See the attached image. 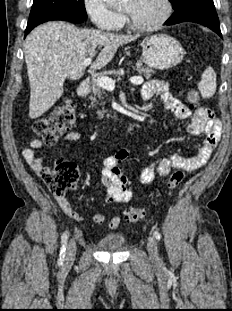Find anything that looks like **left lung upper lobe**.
I'll return each instance as SVG.
<instances>
[{"label":"left lung upper lobe","instance_id":"left-lung-upper-lobe-1","mask_svg":"<svg viewBox=\"0 0 232 311\" xmlns=\"http://www.w3.org/2000/svg\"><path fill=\"white\" fill-rule=\"evenodd\" d=\"M169 1L172 3L173 8L175 9L177 6L182 4L185 0H169Z\"/></svg>","mask_w":232,"mask_h":311}]
</instances>
